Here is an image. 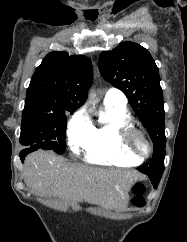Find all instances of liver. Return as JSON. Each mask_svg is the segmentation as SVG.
Listing matches in <instances>:
<instances>
[{
    "instance_id": "obj_1",
    "label": "liver",
    "mask_w": 187,
    "mask_h": 242,
    "mask_svg": "<svg viewBox=\"0 0 187 242\" xmlns=\"http://www.w3.org/2000/svg\"><path fill=\"white\" fill-rule=\"evenodd\" d=\"M139 176L136 171L71 163L50 151L28 155L22 173L27 187L38 195L86 201L110 210L127 207L129 191Z\"/></svg>"
}]
</instances>
